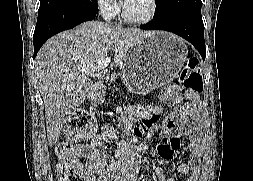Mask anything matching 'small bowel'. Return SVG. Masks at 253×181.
Returning a JSON list of instances; mask_svg holds the SVG:
<instances>
[{
    "label": "small bowel",
    "mask_w": 253,
    "mask_h": 181,
    "mask_svg": "<svg viewBox=\"0 0 253 181\" xmlns=\"http://www.w3.org/2000/svg\"><path fill=\"white\" fill-rule=\"evenodd\" d=\"M160 103L179 104L186 102V115L193 116L198 112L199 100L196 93L190 91H181L176 86L168 88V90L159 96ZM129 113L138 119V124L134 129L137 137L150 136L153 131L159 128L160 135L166 142L159 146V153L163 161H169L174 152L179 147L178 140L187 130L193 135L190 144L191 159L182 161L177 167V173L187 175L185 181H197L200 172L199 155L200 134L186 123L185 127L178 125L182 114L179 110H171L162 116L161 105L148 107L133 106L129 108ZM115 138V132L112 126L107 123L101 131L93 135L88 144L77 145L75 154L77 157L85 158L86 175L89 181H153L148 177H137L138 167L132 156L119 152L114 160L107 163V155L100 150V147L106 140ZM95 175L97 178H95ZM155 175L158 181H175L173 177L167 176L163 165L155 168Z\"/></svg>",
    "instance_id": "small-bowel-1"
}]
</instances>
